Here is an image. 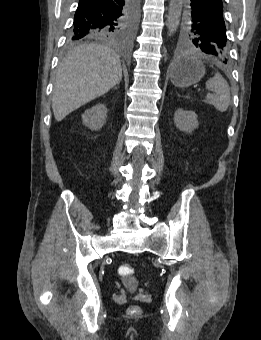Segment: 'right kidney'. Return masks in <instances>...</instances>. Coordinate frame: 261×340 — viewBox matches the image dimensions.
Wrapping results in <instances>:
<instances>
[{
	"instance_id": "obj_1",
	"label": "right kidney",
	"mask_w": 261,
	"mask_h": 340,
	"mask_svg": "<svg viewBox=\"0 0 261 340\" xmlns=\"http://www.w3.org/2000/svg\"><path fill=\"white\" fill-rule=\"evenodd\" d=\"M107 111V107L104 104L99 103L93 106L83 113V124L91 130H100L106 122Z\"/></svg>"
}]
</instances>
